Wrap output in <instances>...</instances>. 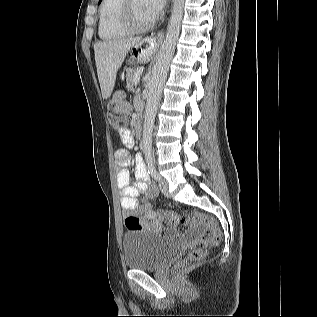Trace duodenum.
I'll list each match as a JSON object with an SVG mask.
<instances>
[{
	"instance_id": "1",
	"label": "duodenum",
	"mask_w": 317,
	"mask_h": 317,
	"mask_svg": "<svg viewBox=\"0 0 317 317\" xmlns=\"http://www.w3.org/2000/svg\"><path fill=\"white\" fill-rule=\"evenodd\" d=\"M135 131H136L137 137H141L142 136V125L140 123H136Z\"/></svg>"
}]
</instances>
